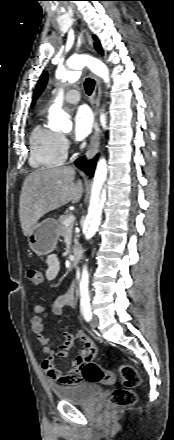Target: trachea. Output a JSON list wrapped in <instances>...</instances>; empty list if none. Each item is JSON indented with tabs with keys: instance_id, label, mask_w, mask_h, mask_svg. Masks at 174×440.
<instances>
[{
	"instance_id": "trachea-1",
	"label": "trachea",
	"mask_w": 174,
	"mask_h": 440,
	"mask_svg": "<svg viewBox=\"0 0 174 440\" xmlns=\"http://www.w3.org/2000/svg\"><path fill=\"white\" fill-rule=\"evenodd\" d=\"M84 86H85L86 93L88 95H91V93H92V91L94 89V86H95V81L93 79L87 78L85 80Z\"/></svg>"
}]
</instances>
